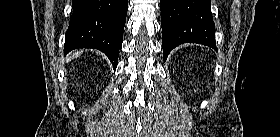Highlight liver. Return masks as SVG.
Masks as SVG:
<instances>
[{
    "mask_svg": "<svg viewBox=\"0 0 280 137\" xmlns=\"http://www.w3.org/2000/svg\"><path fill=\"white\" fill-rule=\"evenodd\" d=\"M79 54H80V52H77L72 58L77 57ZM70 59H71V56H69V57L67 58L68 61H69Z\"/></svg>",
    "mask_w": 280,
    "mask_h": 137,
    "instance_id": "6515ba94",
    "label": "liver"
}]
</instances>
